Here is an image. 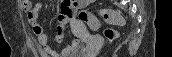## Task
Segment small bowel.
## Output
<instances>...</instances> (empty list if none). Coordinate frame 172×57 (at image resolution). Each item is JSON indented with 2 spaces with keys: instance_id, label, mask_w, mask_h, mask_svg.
Listing matches in <instances>:
<instances>
[{
  "instance_id": "c3829d8e",
  "label": "small bowel",
  "mask_w": 172,
  "mask_h": 57,
  "mask_svg": "<svg viewBox=\"0 0 172 57\" xmlns=\"http://www.w3.org/2000/svg\"><path fill=\"white\" fill-rule=\"evenodd\" d=\"M85 2V1H84ZM81 1H72L62 4L61 11L57 15V27L54 35V40L61 43L64 39V33L67 23L72 19L69 14L73 5L81 4ZM23 8L27 14V20L35 35L40 52L44 57H68L69 55L82 49V43L79 39H73L71 43L64 46L60 51H56L49 43V38L40 24V12L43 8L42 2L33 4L26 0L23 2Z\"/></svg>"
}]
</instances>
